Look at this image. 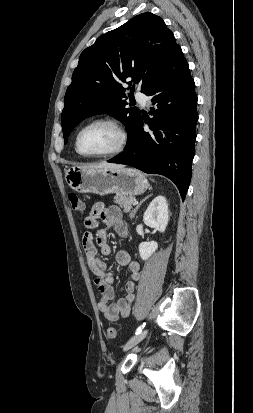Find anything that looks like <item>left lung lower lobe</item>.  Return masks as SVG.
I'll use <instances>...</instances> for the list:
<instances>
[{
	"mask_svg": "<svg viewBox=\"0 0 253 413\" xmlns=\"http://www.w3.org/2000/svg\"><path fill=\"white\" fill-rule=\"evenodd\" d=\"M189 66L179 47L167 69L147 91L152 96L150 129L138 123L136 136L126 150L108 162L125 164L145 173L160 174L172 180L185 198L191 180L195 126L198 121L197 96Z\"/></svg>",
	"mask_w": 253,
	"mask_h": 413,
	"instance_id": "0a47b994",
	"label": "left lung lower lobe"
}]
</instances>
